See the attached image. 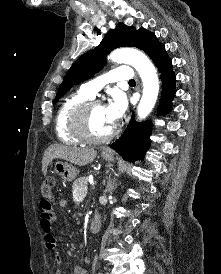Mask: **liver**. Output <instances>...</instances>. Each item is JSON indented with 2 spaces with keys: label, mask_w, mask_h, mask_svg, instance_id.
Masks as SVG:
<instances>
[{
  "label": "liver",
  "mask_w": 221,
  "mask_h": 274,
  "mask_svg": "<svg viewBox=\"0 0 221 274\" xmlns=\"http://www.w3.org/2000/svg\"><path fill=\"white\" fill-rule=\"evenodd\" d=\"M96 155L97 152L93 148H77L59 144L51 145L44 153L42 159V172L45 176L50 161L55 158L66 160L78 166H85L93 162Z\"/></svg>",
  "instance_id": "obj_1"
}]
</instances>
